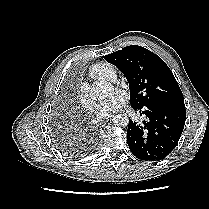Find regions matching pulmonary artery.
I'll list each match as a JSON object with an SVG mask.
<instances>
[{
  "instance_id": "obj_1",
  "label": "pulmonary artery",
  "mask_w": 209,
  "mask_h": 209,
  "mask_svg": "<svg viewBox=\"0 0 209 209\" xmlns=\"http://www.w3.org/2000/svg\"><path fill=\"white\" fill-rule=\"evenodd\" d=\"M116 79V75H114L111 79V81L115 80Z\"/></svg>"
}]
</instances>
